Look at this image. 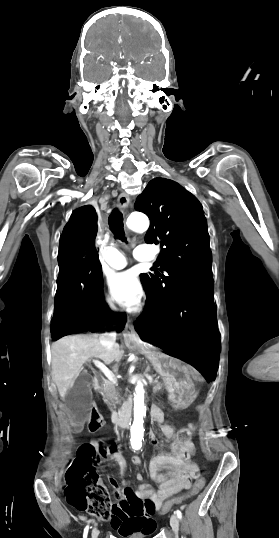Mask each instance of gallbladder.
Returning <instances> with one entry per match:
<instances>
[{
	"label": "gallbladder",
	"instance_id": "bac80fb5",
	"mask_svg": "<svg viewBox=\"0 0 279 538\" xmlns=\"http://www.w3.org/2000/svg\"><path fill=\"white\" fill-rule=\"evenodd\" d=\"M91 384V374L81 372L80 376L76 378L72 388L68 390L67 397L64 398L63 404L61 405V410L63 412H70L73 410L69 415L71 421L76 422L79 419L82 423H89L91 421V414L87 412L86 406L93 401L90 390Z\"/></svg>",
	"mask_w": 279,
	"mask_h": 538
}]
</instances>
